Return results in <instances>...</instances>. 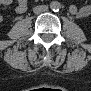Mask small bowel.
Returning a JSON list of instances; mask_svg holds the SVG:
<instances>
[{
	"label": "small bowel",
	"mask_w": 91,
	"mask_h": 91,
	"mask_svg": "<svg viewBox=\"0 0 91 91\" xmlns=\"http://www.w3.org/2000/svg\"><path fill=\"white\" fill-rule=\"evenodd\" d=\"M3 4L4 5H9L11 4V1L10 0H3ZM27 9V3L25 0H19L16 4H15V11L17 13H23L25 12ZM73 13H78L77 9L76 8H72L71 10Z\"/></svg>",
	"instance_id": "obj_1"
}]
</instances>
